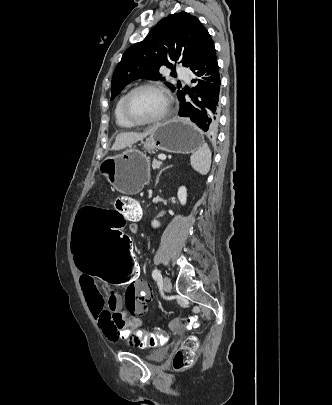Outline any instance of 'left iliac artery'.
I'll return each mask as SVG.
<instances>
[{
  "instance_id": "44dca946",
  "label": "left iliac artery",
  "mask_w": 332,
  "mask_h": 405,
  "mask_svg": "<svg viewBox=\"0 0 332 405\" xmlns=\"http://www.w3.org/2000/svg\"><path fill=\"white\" fill-rule=\"evenodd\" d=\"M152 277L154 280L156 281H161L162 280V276H161V272L159 269L155 268L152 272Z\"/></svg>"
}]
</instances>
